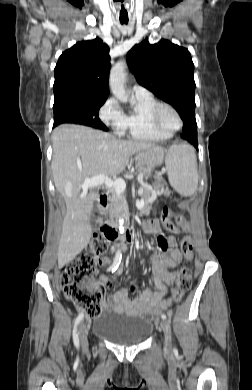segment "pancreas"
<instances>
[{
  "mask_svg": "<svg viewBox=\"0 0 252 390\" xmlns=\"http://www.w3.org/2000/svg\"><path fill=\"white\" fill-rule=\"evenodd\" d=\"M161 188H159L160 190ZM156 197V196H155ZM119 195L113 191L112 194H111V197H110V201H111V206L112 207H117L118 204H119ZM154 202V200H151V202H144V206L140 209V212L141 214H143L144 217H150L151 216V213H150V209H151V205L152 203ZM114 209H111L110 211L113 212Z\"/></svg>",
  "mask_w": 252,
  "mask_h": 390,
  "instance_id": "obj_1",
  "label": "pancreas"
}]
</instances>
